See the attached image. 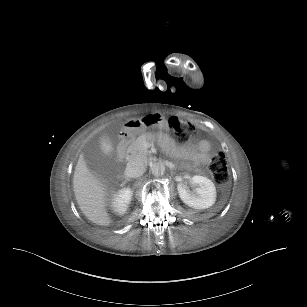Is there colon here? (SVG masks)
<instances>
[{
    "mask_svg": "<svg viewBox=\"0 0 307 307\" xmlns=\"http://www.w3.org/2000/svg\"><path fill=\"white\" fill-rule=\"evenodd\" d=\"M168 125L180 143L189 141L197 133L194 125L176 116L169 118ZM210 170L216 183L220 185L227 183L229 178L227 156L222 153L214 155L210 159Z\"/></svg>",
    "mask_w": 307,
    "mask_h": 307,
    "instance_id": "obj_1",
    "label": "colon"
}]
</instances>
